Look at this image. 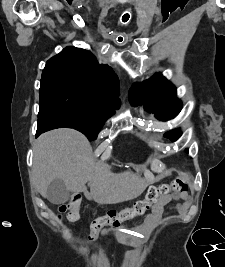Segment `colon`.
I'll return each instance as SVG.
<instances>
[{"instance_id": "obj_1", "label": "colon", "mask_w": 225, "mask_h": 267, "mask_svg": "<svg viewBox=\"0 0 225 267\" xmlns=\"http://www.w3.org/2000/svg\"><path fill=\"white\" fill-rule=\"evenodd\" d=\"M188 189V179L184 173H179L170 184L151 186L148 188L143 200L136 202L132 207H128L120 212L111 211L104 216L96 218L91 223V232L99 235L106 227H117L122 222L144 214L161 197L170 193H183ZM81 199L78 196L59 207L60 213H67L70 222H76L80 218L79 207ZM91 239V237H90Z\"/></svg>"}]
</instances>
